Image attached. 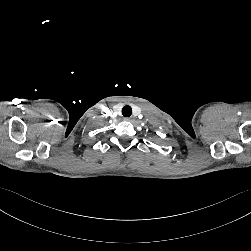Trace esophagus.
<instances>
[{"label": "esophagus", "instance_id": "esophagus-1", "mask_svg": "<svg viewBox=\"0 0 251 251\" xmlns=\"http://www.w3.org/2000/svg\"><path fill=\"white\" fill-rule=\"evenodd\" d=\"M124 120H125V121H132V118L126 117V118H124Z\"/></svg>", "mask_w": 251, "mask_h": 251}]
</instances>
